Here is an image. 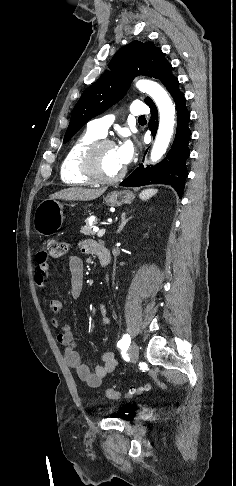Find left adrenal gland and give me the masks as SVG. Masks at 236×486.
<instances>
[{
	"label": "left adrenal gland",
	"instance_id": "obj_1",
	"mask_svg": "<svg viewBox=\"0 0 236 486\" xmlns=\"http://www.w3.org/2000/svg\"><path fill=\"white\" fill-rule=\"evenodd\" d=\"M132 217H129L126 219V213H122L121 215V224L119 225V228L117 230V233H120L122 231V229L124 228V226L128 223V221L131 219Z\"/></svg>",
	"mask_w": 236,
	"mask_h": 486
}]
</instances>
